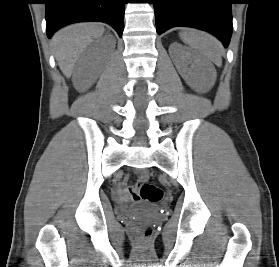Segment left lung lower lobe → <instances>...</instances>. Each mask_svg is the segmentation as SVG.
Listing matches in <instances>:
<instances>
[{
	"mask_svg": "<svg viewBox=\"0 0 279 267\" xmlns=\"http://www.w3.org/2000/svg\"><path fill=\"white\" fill-rule=\"evenodd\" d=\"M160 35L176 26L212 33L228 47L232 35V0H153Z\"/></svg>",
	"mask_w": 279,
	"mask_h": 267,
	"instance_id": "obj_1",
	"label": "left lung lower lobe"
}]
</instances>
